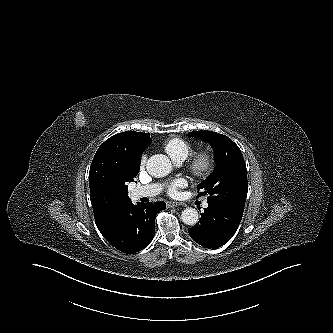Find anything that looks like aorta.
Masks as SVG:
<instances>
[{
  "label": "aorta",
  "mask_w": 333,
  "mask_h": 333,
  "mask_svg": "<svg viewBox=\"0 0 333 333\" xmlns=\"http://www.w3.org/2000/svg\"><path fill=\"white\" fill-rule=\"evenodd\" d=\"M147 171L154 177H165L172 171L170 159L163 154L151 156L146 164ZM182 222L186 225L193 226L199 220V214L196 209L188 207L181 213Z\"/></svg>",
  "instance_id": "762f6f07"
}]
</instances>
